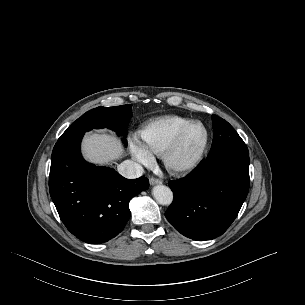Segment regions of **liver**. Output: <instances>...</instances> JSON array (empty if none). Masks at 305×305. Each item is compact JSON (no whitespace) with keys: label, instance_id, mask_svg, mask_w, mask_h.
Masks as SVG:
<instances>
[{"label":"liver","instance_id":"1","mask_svg":"<svg viewBox=\"0 0 305 305\" xmlns=\"http://www.w3.org/2000/svg\"><path fill=\"white\" fill-rule=\"evenodd\" d=\"M85 158L93 163H109L123 155L119 141L107 133H92L82 143Z\"/></svg>","mask_w":305,"mask_h":305}]
</instances>
